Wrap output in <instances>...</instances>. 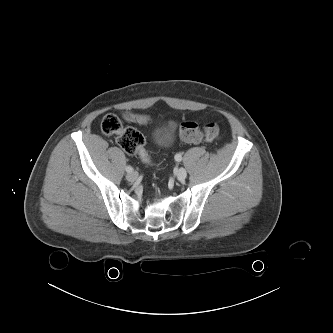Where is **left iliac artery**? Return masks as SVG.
I'll list each match as a JSON object with an SVG mask.
<instances>
[{"instance_id": "left-iliac-artery-1", "label": "left iliac artery", "mask_w": 333, "mask_h": 333, "mask_svg": "<svg viewBox=\"0 0 333 333\" xmlns=\"http://www.w3.org/2000/svg\"><path fill=\"white\" fill-rule=\"evenodd\" d=\"M175 160H176L177 162H180V161L182 160V156H181V154H176V155H175Z\"/></svg>"}]
</instances>
